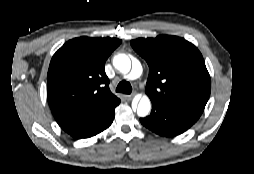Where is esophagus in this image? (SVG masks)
Segmentation results:
<instances>
[{"mask_svg":"<svg viewBox=\"0 0 254 174\" xmlns=\"http://www.w3.org/2000/svg\"><path fill=\"white\" fill-rule=\"evenodd\" d=\"M124 97H125V99H126L127 101H130V100H132L133 95H125Z\"/></svg>","mask_w":254,"mask_h":174,"instance_id":"1","label":"esophagus"}]
</instances>
